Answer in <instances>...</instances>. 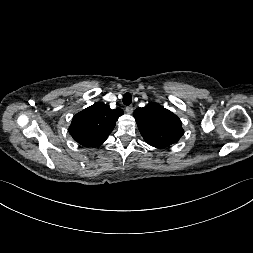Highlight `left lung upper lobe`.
<instances>
[{
    "instance_id": "obj_1",
    "label": "left lung upper lobe",
    "mask_w": 253,
    "mask_h": 253,
    "mask_svg": "<svg viewBox=\"0 0 253 253\" xmlns=\"http://www.w3.org/2000/svg\"><path fill=\"white\" fill-rule=\"evenodd\" d=\"M133 116L144 140L153 147H167L184 134L180 119L157 103L136 109Z\"/></svg>"
}]
</instances>
